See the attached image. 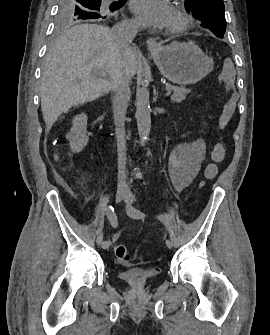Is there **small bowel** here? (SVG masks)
Segmentation results:
<instances>
[{"label": "small bowel", "instance_id": "obj_1", "mask_svg": "<svg viewBox=\"0 0 270 335\" xmlns=\"http://www.w3.org/2000/svg\"><path fill=\"white\" fill-rule=\"evenodd\" d=\"M47 154L48 156H63L64 151L63 149H48ZM205 155L206 148L201 140L181 145L172 152L169 160V176L177 191L183 190L195 177Z\"/></svg>", "mask_w": 270, "mask_h": 335}]
</instances>
